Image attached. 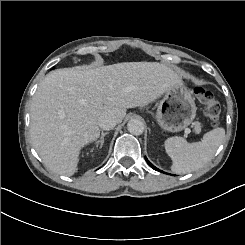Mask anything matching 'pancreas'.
<instances>
[{
	"label": "pancreas",
	"mask_w": 245,
	"mask_h": 245,
	"mask_svg": "<svg viewBox=\"0 0 245 245\" xmlns=\"http://www.w3.org/2000/svg\"><path fill=\"white\" fill-rule=\"evenodd\" d=\"M191 127H193V131L196 134H199L201 132V123L199 121H196L191 124Z\"/></svg>",
	"instance_id": "obj_1"
}]
</instances>
